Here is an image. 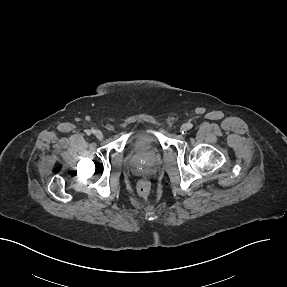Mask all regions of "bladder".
<instances>
[{
    "label": "bladder",
    "mask_w": 287,
    "mask_h": 287,
    "mask_svg": "<svg viewBox=\"0 0 287 287\" xmlns=\"http://www.w3.org/2000/svg\"><path fill=\"white\" fill-rule=\"evenodd\" d=\"M155 142L153 134L148 132H140L134 136L131 142V150L134 152H143L148 145Z\"/></svg>",
    "instance_id": "obj_1"
}]
</instances>
